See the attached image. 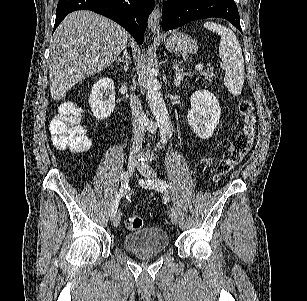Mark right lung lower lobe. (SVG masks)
I'll use <instances>...</instances> for the list:
<instances>
[{"instance_id":"right-lung-lower-lobe-1","label":"right lung lower lobe","mask_w":307,"mask_h":301,"mask_svg":"<svg viewBox=\"0 0 307 301\" xmlns=\"http://www.w3.org/2000/svg\"><path fill=\"white\" fill-rule=\"evenodd\" d=\"M153 9L154 0H59L54 30L70 12L91 10L114 20L142 44L148 16Z\"/></svg>"}]
</instances>
